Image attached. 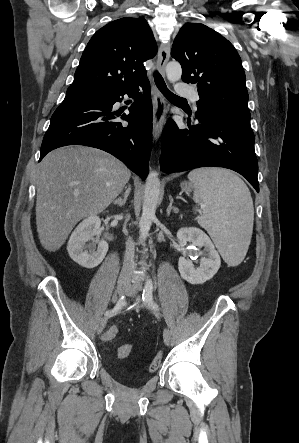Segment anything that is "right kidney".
<instances>
[{
	"instance_id": "obj_1",
	"label": "right kidney",
	"mask_w": 299,
	"mask_h": 443,
	"mask_svg": "<svg viewBox=\"0 0 299 443\" xmlns=\"http://www.w3.org/2000/svg\"><path fill=\"white\" fill-rule=\"evenodd\" d=\"M101 220L97 215H91L84 219L72 232L67 251L73 261L80 266L91 269L99 265L108 251V243L104 240H96L99 234ZM92 241L89 245L86 243ZM96 244L98 245L96 249Z\"/></svg>"
}]
</instances>
